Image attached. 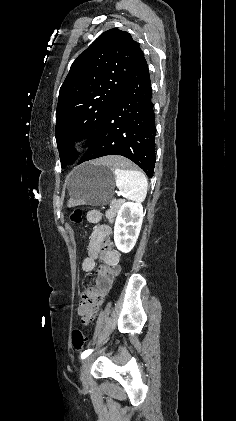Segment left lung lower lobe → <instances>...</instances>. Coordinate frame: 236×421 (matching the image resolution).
I'll use <instances>...</instances> for the list:
<instances>
[{"label": "left lung lower lobe", "mask_w": 236, "mask_h": 421, "mask_svg": "<svg viewBox=\"0 0 236 421\" xmlns=\"http://www.w3.org/2000/svg\"><path fill=\"white\" fill-rule=\"evenodd\" d=\"M151 98L149 70L140 49L125 85L78 164L106 155H121L152 177L156 127Z\"/></svg>", "instance_id": "1"}]
</instances>
